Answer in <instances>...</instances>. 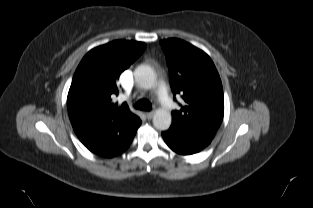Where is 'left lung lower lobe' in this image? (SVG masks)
Returning a JSON list of instances; mask_svg holds the SVG:
<instances>
[{
	"instance_id": "obj_1",
	"label": "left lung lower lobe",
	"mask_w": 313,
	"mask_h": 208,
	"mask_svg": "<svg viewBox=\"0 0 313 208\" xmlns=\"http://www.w3.org/2000/svg\"><path fill=\"white\" fill-rule=\"evenodd\" d=\"M162 136L167 145L173 151L181 155H191L197 153L210 144L209 141L182 136L171 129L162 132Z\"/></svg>"
}]
</instances>
